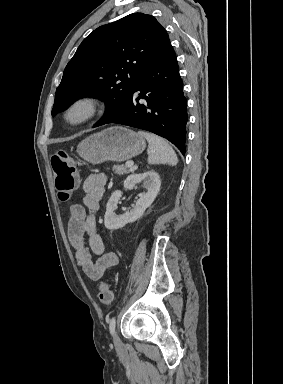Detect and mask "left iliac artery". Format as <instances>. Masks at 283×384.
Instances as JSON below:
<instances>
[{"mask_svg": "<svg viewBox=\"0 0 283 384\" xmlns=\"http://www.w3.org/2000/svg\"><path fill=\"white\" fill-rule=\"evenodd\" d=\"M115 324H116V319L112 318L109 324V330L111 334H113L115 331Z\"/></svg>", "mask_w": 283, "mask_h": 384, "instance_id": "44dca946", "label": "left iliac artery"}]
</instances>
